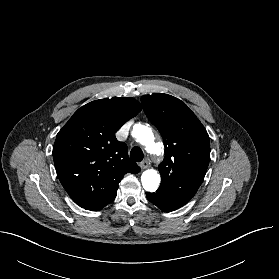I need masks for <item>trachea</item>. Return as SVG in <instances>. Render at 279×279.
Masks as SVG:
<instances>
[{"instance_id":"obj_1","label":"trachea","mask_w":279,"mask_h":279,"mask_svg":"<svg viewBox=\"0 0 279 279\" xmlns=\"http://www.w3.org/2000/svg\"><path fill=\"white\" fill-rule=\"evenodd\" d=\"M130 157L136 161V162H140L143 160L144 158V154L142 152V150L139 147H134L131 152H130Z\"/></svg>"}]
</instances>
